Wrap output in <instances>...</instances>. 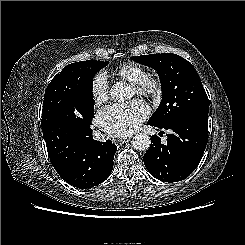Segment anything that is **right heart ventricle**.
Here are the masks:
<instances>
[{"label": "right heart ventricle", "instance_id": "right-heart-ventricle-1", "mask_svg": "<svg viewBox=\"0 0 245 245\" xmlns=\"http://www.w3.org/2000/svg\"><path fill=\"white\" fill-rule=\"evenodd\" d=\"M147 69L138 63L127 62L118 66L112 75L118 79L128 83H134L147 75Z\"/></svg>", "mask_w": 245, "mask_h": 245}]
</instances>
